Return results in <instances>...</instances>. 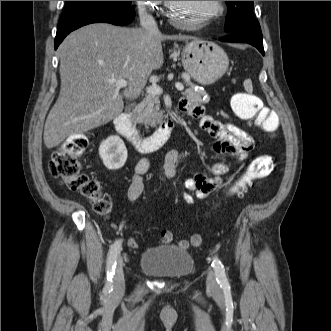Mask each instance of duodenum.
I'll return each instance as SVG.
<instances>
[{"mask_svg":"<svg viewBox=\"0 0 331 331\" xmlns=\"http://www.w3.org/2000/svg\"><path fill=\"white\" fill-rule=\"evenodd\" d=\"M179 111L173 112L159 125L152 135L145 138L139 135L135 123L128 112H122L117 115L114 119V125L119 135L124 137L137 152H152L161 148L169 139L175 127Z\"/></svg>","mask_w":331,"mask_h":331,"instance_id":"410a0bca","label":"duodenum"}]
</instances>
